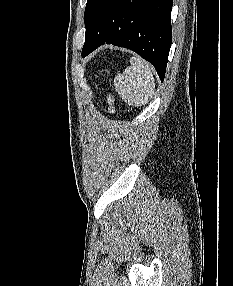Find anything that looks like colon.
<instances>
[{
  "mask_svg": "<svg viewBox=\"0 0 233 286\" xmlns=\"http://www.w3.org/2000/svg\"><path fill=\"white\" fill-rule=\"evenodd\" d=\"M108 103H109V105H110V110H114V107H113V99H112V97H109L108 98Z\"/></svg>",
  "mask_w": 233,
  "mask_h": 286,
  "instance_id": "1",
  "label": "colon"
}]
</instances>
